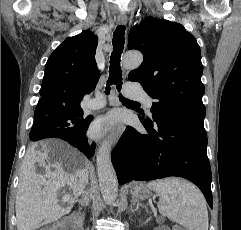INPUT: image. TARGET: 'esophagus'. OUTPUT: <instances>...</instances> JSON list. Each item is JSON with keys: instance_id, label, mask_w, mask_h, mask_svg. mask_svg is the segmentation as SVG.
Listing matches in <instances>:
<instances>
[{"instance_id": "esophagus-1", "label": "esophagus", "mask_w": 241, "mask_h": 230, "mask_svg": "<svg viewBox=\"0 0 241 230\" xmlns=\"http://www.w3.org/2000/svg\"><path fill=\"white\" fill-rule=\"evenodd\" d=\"M117 23L119 25H126L127 23V16L125 14H119L117 16ZM124 130V126L123 125H118L117 127H115L113 129V141L116 142L117 139L119 138V136L121 135V133Z\"/></svg>"}]
</instances>
